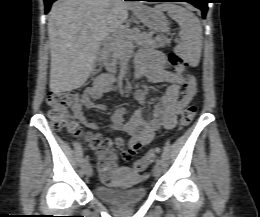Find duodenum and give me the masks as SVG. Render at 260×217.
<instances>
[{
	"instance_id": "1",
	"label": "duodenum",
	"mask_w": 260,
	"mask_h": 217,
	"mask_svg": "<svg viewBox=\"0 0 260 217\" xmlns=\"http://www.w3.org/2000/svg\"><path fill=\"white\" fill-rule=\"evenodd\" d=\"M114 83V79L112 76L106 75V76H101L97 80V86L102 89H107L110 88Z\"/></svg>"
}]
</instances>
